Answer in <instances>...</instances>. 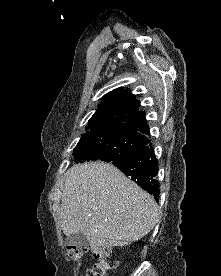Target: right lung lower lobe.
I'll use <instances>...</instances> for the list:
<instances>
[{"instance_id":"1","label":"right lung lower lobe","mask_w":221,"mask_h":276,"mask_svg":"<svg viewBox=\"0 0 221 276\" xmlns=\"http://www.w3.org/2000/svg\"><path fill=\"white\" fill-rule=\"evenodd\" d=\"M125 175L130 176L140 187L154 195L158 202L160 189L157 180L158 162L154 148L146 137L144 144L129 155L111 162Z\"/></svg>"}]
</instances>
